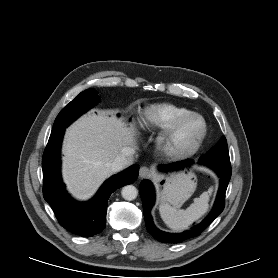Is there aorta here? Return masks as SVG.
Wrapping results in <instances>:
<instances>
[{"mask_svg":"<svg viewBox=\"0 0 278 278\" xmlns=\"http://www.w3.org/2000/svg\"><path fill=\"white\" fill-rule=\"evenodd\" d=\"M122 197L127 201H132L137 197L138 191L133 185H126L121 191Z\"/></svg>","mask_w":278,"mask_h":278,"instance_id":"1","label":"aorta"}]
</instances>
